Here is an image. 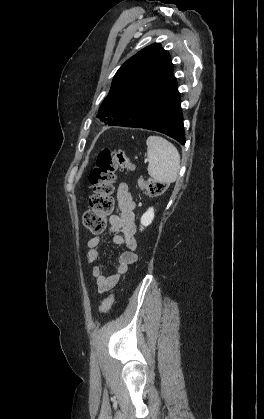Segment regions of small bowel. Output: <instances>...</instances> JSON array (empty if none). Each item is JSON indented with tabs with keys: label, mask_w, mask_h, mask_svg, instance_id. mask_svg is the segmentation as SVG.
<instances>
[{
	"label": "small bowel",
	"mask_w": 264,
	"mask_h": 419,
	"mask_svg": "<svg viewBox=\"0 0 264 419\" xmlns=\"http://www.w3.org/2000/svg\"><path fill=\"white\" fill-rule=\"evenodd\" d=\"M116 206L117 213L109 217V231L113 235V242L123 245L126 250L118 257V267L109 274H104L100 265L93 267L92 275L96 280L99 293L103 294L114 288L121 277L128 271L130 265L138 260L136 254L137 241L134 237L136 232L135 203L130 194L129 186L125 182H121L116 190ZM102 243L101 236L95 235L87 242V262L93 263L97 261L101 255L99 247Z\"/></svg>",
	"instance_id": "small-bowel-1"
}]
</instances>
